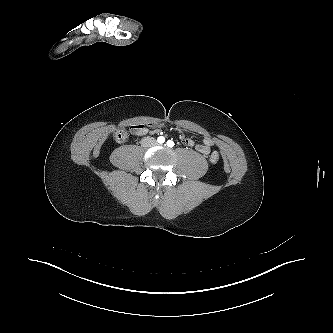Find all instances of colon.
<instances>
[{
    "mask_svg": "<svg viewBox=\"0 0 333 333\" xmlns=\"http://www.w3.org/2000/svg\"><path fill=\"white\" fill-rule=\"evenodd\" d=\"M127 137H128V133L124 129H120V130L116 131L114 134V139L119 143L124 142L127 139ZM209 160L211 163H217L219 161L218 152H212L209 157Z\"/></svg>",
    "mask_w": 333,
    "mask_h": 333,
    "instance_id": "5ec220e1",
    "label": "colon"
}]
</instances>
